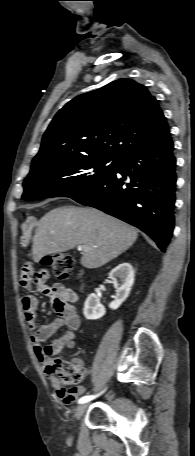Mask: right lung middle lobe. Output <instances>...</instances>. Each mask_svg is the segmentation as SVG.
<instances>
[{
  "label": "right lung middle lobe",
  "instance_id": "dd1d6c3e",
  "mask_svg": "<svg viewBox=\"0 0 195 456\" xmlns=\"http://www.w3.org/2000/svg\"><path fill=\"white\" fill-rule=\"evenodd\" d=\"M104 156L65 157L31 167L24 180L22 199H72L90 192L111 176L117 160Z\"/></svg>",
  "mask_w": 195,
  "mask_h": 456
}]
</instances>
